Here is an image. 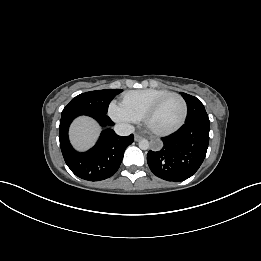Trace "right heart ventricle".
<instances>
[{"instance_id":"obj_1","label":"right heart ventricle","mask_w":261,"mask_h":261,"mask_svg":"<svg viewBox=\"0 0 261 261\" xmlns=\"http://www.w3.org/2000/svg\"><path fill=\"white\" fill-rule=\"evenodd\" d=\"M170 93L165 89H143L126 92L121 106L135 119L141 120L146 110L160 97Z\"/></svg>"}]
</instances>
